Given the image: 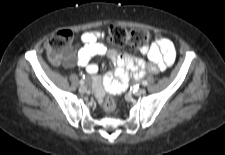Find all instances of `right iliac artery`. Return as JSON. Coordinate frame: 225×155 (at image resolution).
Returning <instances> with one entry per match:
<instances>
[{
  "label": "right iliac artery",
  "mask_w": 225,
  "mask_h": 155,
  "mask_svg": "<svg viewBox=\"0 0 225 155\" xmlns=\"http://www.w3.org/2000/svg\"><path fill=\"white\" fill-rule=\"evenodd\" d=\"M80 85H84V81L83 80H80Z\"/></svg>",
  "instance_id": "1"
}]
</instances>
